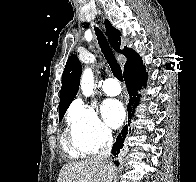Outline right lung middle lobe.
Here are the masks:
<instances>
[{"label": "right lung middle lobe", "instance_id": "obj_1", "mask_svg": "<svg viewBox=\"0 0 196 182\" xmlns=\"http://www.w3.org/2000/svg\"><path fill=\"white\" fill-rule=\"evenodd\" d=\"M63 116H64V115H62V116H59V121H61V120H62Z\"/></svg>", "mask_w": 196, "mask_h": 182}]
</instances>
